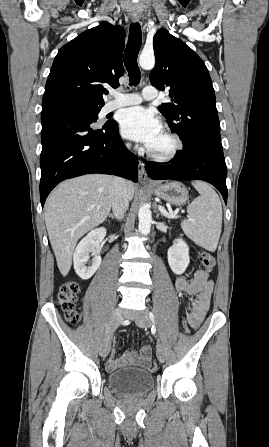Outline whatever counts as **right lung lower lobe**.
Segmentation results:
<instances>
[{"instance_id":"1","label":"right lung lower lobe","mask_w":269,"mask_h":447,"mask_svg":"<svg viewBox=\"0 0 269 447\" xmlns=\"http://www.w3.org/2000/svg\"><path fill=\"white\" fill-rule=\"evenodd\" d=\"M40 200L61 181L89 173L114 174L138 180V160L128 151L115 124L93 129L94 122L71 108L41 114Z\"/></svg>"}]
</instances>
